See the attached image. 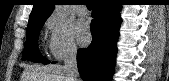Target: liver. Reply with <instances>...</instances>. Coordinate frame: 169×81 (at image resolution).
Listing matches in <instances>:
<instances>
[{
  "label": "liver",
  "mask_w": 169,
  "mask_h": 81,
  "mask_svg": "<svg viewBox=\"0 0 169 81\" xmlns=\"http://www.w3.org/2000/svg\"><path fill=\"white\" fill-rule=\"evenodd\" d=\"M21 81H70L62 65L31 66L25 69Z\"/></svg>",
  "instance_id": "1"
}]
</instances>
